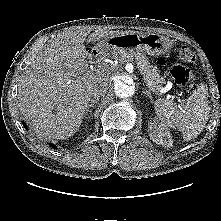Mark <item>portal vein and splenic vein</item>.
<instances>
[{
    "label": "portal vein and splenic vein",
    "instance_id": "18ae733b",
    "mask_svg": "<svg viewBox=\"0 0 221 221\" xmlns=\"http://www.w3.org/2000/svg\"><path fill=\"white\" fill-rule=\"evenodd\" d=\"M170 88H171L170 86L162 87V88H160L159 92L160 93H166L167 91L170 90Z\"/></svg>",
    "mask_w": 221,
    "mask_h": 221
}]
</instances>
